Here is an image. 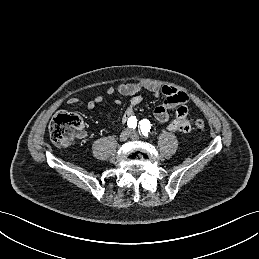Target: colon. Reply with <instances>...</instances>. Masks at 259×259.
<instances>
[{"label":"colon","mask_w":259,"mask_h":259,"mask_svg":"<svg viewBox=\"0 0 259 259\" xmlns=\"http://www.w3.org/2000/svg\"><path fill=\"white\" fill-rule=\"evenodd\" d=\"M82 127L83 122L78 115L60 112L54 116L49 126L51 140L57 147L65 148L71 144ZM194 128L202 133L205 130V122L202 119H196Z\"/></svg>","instance_id":"5ec220e1"}]
</instances>
